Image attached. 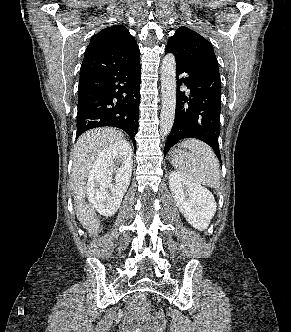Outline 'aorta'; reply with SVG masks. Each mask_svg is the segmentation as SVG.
<instances>
[{"label":"aorta","instance_id":"obj_1","mask_svg":"<svg viewBox=\"0 0 291 332\" xmlns=\"http://www.w3.org/2000/svg\"><path fill=\"white\" fill-rule=\"evenodd\" d=\"M161 92L160 128L166 136L172 129L176 109V59L172 53L167 54L162 61Z\"/></svg>","mask_w":291,"mask_h":332}]
</instances>
